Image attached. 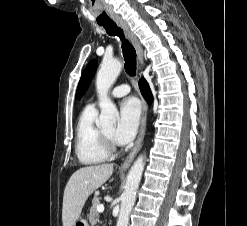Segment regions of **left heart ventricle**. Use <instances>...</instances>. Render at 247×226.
I'll return each instance as SVG.
<instances>
[{
  "instance_id": "left-heart-ventricle-1",
  "label": "left heart ventricle",
  "mask_w": 247,
  "mask_h": 226,
  "mask_svg": "<svg viewBox=\"0 0 247 226\" xmlns=\"http://www.w3.org/2000/svg\"><path fill=\"white\" fill-rule=\"evenodd\" d=\"M103 132H104L107 136H109V137L112 138V136H113V129H112V128H110V129H105Z\"/></svg>"
}]
</instances>
